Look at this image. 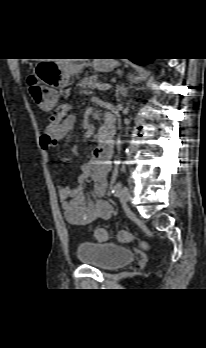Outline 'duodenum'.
I'll return each mask as SVG.
<instances>
[{"label":"duodenum","mask_w":206,"mask_h":348,"mask_svg":"<svg viewBox=\"0 0 206 348\" xmlns=\"http://www.w3.org/2000/svg\"><path fill=\"white\" fill-rule=\"evenodd\" d=\"M115 118L113 114L109 113L106 115L105 124L97 131L95 140L98 142L100 147H106L112 150V139L115 135Z\"/></svg>","instance_id":"obj_1"}]
</instances>
